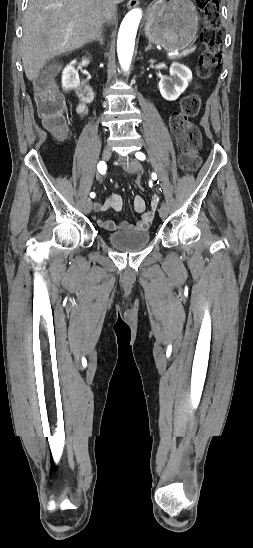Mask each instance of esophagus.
<instances>
[{"label": "esophagus", "instance_id": "34e87169", "mask_svg": "<svg viewBox=\"0 0 253 548\" xmlns=\"http://www.w3.org/2000/svg\"><path fill=\"white\" fill-rule=\"evenodd\" d=\"M139 4V0H129L128 3H127V6L128 8H134L136 6H138Z\"/></svg>", "mask_w": 253, "mask_h": 548}]
</instances>
